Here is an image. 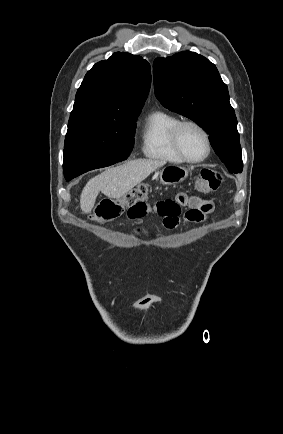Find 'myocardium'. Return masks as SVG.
I'll return each mask as SVG.
<instances>
[{
    "instance_id": "1",
    "label": "myocardium",
    "mask_w": 283,
    "mask_h": 434,
    "mask_svg": "<svg viewBox=\"0 0 283 434\" xmlns=\"http://www.w3.org/2000/svg\"><path fill=\"white\" fill-rule=\"evenodd\" d=\"M185 126H193L202 133V135L205 139V142H206V152L202 157L197 158V159L190 158L182 150V147L180 144V132ZM171 139H172V145H173L175 152L184 162H187V163H200V162L205 161L209 157L211 150H212L211 139H210L208 131L200 123H198L197 121H194V120H181V121H179L174 126V128L172 130Z\"/></svg>"
}]
</instances>
